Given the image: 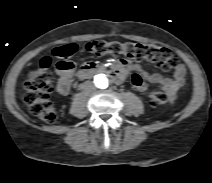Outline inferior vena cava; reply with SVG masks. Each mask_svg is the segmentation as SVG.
Here are the masks:
<instances>
[{
	"label": "inferior vena cava",
	"mask_w": 212,
	"mask_h": 183,
	"mask_svg": "<svg viewBox=\"0 0 212 183\" xmlns=\"http://www.w3.org/2000/svg\"><path fill=\"white\" fill-rule=\"evenodd\" d=\"M83 88L87 92H92V91L95 90L94 85L91 82H88V81L83 84Z\"/></svg>",
	"instance_id": "602c4592"
}]
</instances>
